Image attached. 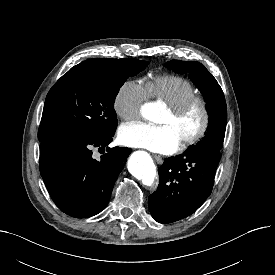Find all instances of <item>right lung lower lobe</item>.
<instances>
[{"instance_id": "1", "label": "right lung lower lobe", "mask_w": 275, "mask_h": 275, "mask_svg": "<svg viewBox=\"0 0 275 275\" xmlns=\"http://www.w3.org/2000/svg\"><path fill=\"white\" fill-rule=\"evenodd\" d=\"M113 135L40 144V173L52 200L62 212L86 218L106 207L131 153L127 147H107ZM94 147L104 150L100 159L92 155Z\"/></svg>"}]
</instances>
